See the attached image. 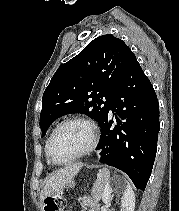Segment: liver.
<instances>
[{
	"instance_id": "6515ba94",
	"label": "liver",
	"mask_w": 179,
	"mask_h": 211,
	"mask_svg": "<svg viewBox=\"0 0 179 211\" xmlns=\"http://www.w3.org/2000/svg\"><path fill=\"white\" fill-rule=\"evenodd\" d=\"M81 164H74L61 168L51 174L41 190L40 199L44 200L62 190L81 169Z\"/></svg>"
}]
</instances>
